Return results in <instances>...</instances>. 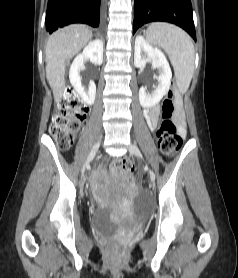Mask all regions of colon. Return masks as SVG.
Returning <instances> with one entry per match:
<instances>
[{"label":"colon","mask_w":238,"mask_h":278,"mask_svg":"<svg viewBox=\"0 0 238 278\" xmlns=\"http://www.w3.org/2000/svg\"><path fill=\"white\" fill-rule=\"evenodd\" d=\"M175 93L169 90L161 105L162 121L157 131L160 151L164 155H171L182 145V138L178 133L175 115ZM88 114L87 105L78 95L67 90L61 99L57 112L50 125V134L62 150H68L75 142L82 123ZM115 177L127 176L134 171V164L129 159L115 160L110 167Z\"/></svg>","instance_id":"obj_1"}]
</instances>
